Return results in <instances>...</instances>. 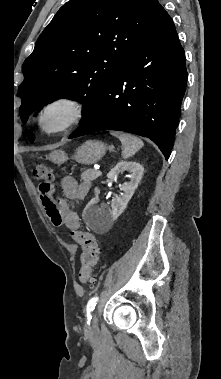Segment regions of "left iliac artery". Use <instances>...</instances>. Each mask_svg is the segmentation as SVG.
<instances>
[{
	"mask_svg": "<svg viewBox=\"0 0 221 379\" xmlns=\"http://www.w3.org/2000/svg\"><path fill=\"white\" fill-rule=\"evenodd\" d=\"M98 299L99 298L97 296H94L87 303L86 311H87L88 323H90V320L92 318V316H91L90 313L94 310V308H95V306L97 304Z\"/></svg>",
	"mask_w": 221,
	"mask_h": 379,
	"instance_id": "44dca946",
	"label": "left iliac artery"
}]
</instances>
